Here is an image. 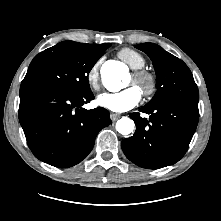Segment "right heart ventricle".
<instances>
[{
  "instance_id": "e07e8e85",
  "label": "right heart ventricle",
  "mask_w": 221,
  "mask_h": 221,
  "mask_svg": "<svg viewBox=\"0 0 221 221\" xmlns=\"http://www.w3.org/2000/svg\"><path fill=\"white\" fill-rule=\"evenodd\" d=\"M117 55L134 70L142 69L146 65L145 57L132 48H122Z\"/></svg>"
}]
</instances>
